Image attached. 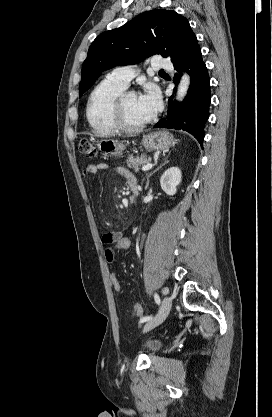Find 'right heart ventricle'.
<instances>
[{"instance_id": "right-heart-ventricle-1", "label": "right heart ventricle", "mask_w": 272, "mask_h": 417, "mask_svg": "<svg viewBox=\"0 0 272 417\" xmlns=\"http://www.w3.org/2000/svg\"><path fill=\"white\" fill-rule=\"evenodd\" d=\"M126 89L109 76L100 81L89 95L86 117L92 130L99 136L109 137L117 133L111 113L115 99Z\"/></svg>"}]
</instances>
